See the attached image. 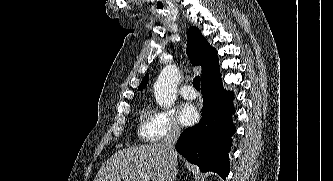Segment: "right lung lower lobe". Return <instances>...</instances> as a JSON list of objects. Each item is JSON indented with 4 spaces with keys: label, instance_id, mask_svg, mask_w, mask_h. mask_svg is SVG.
I'll use <instances>...</instances> for the list:
<instances>
[{
    "label": "right lung lower lobe",
    "instance_id": "98d812e1",
    "mask_svg": "<svg viewBox=\"0 0 333 181\" xmlns=\"http://www.w3.org/2000/svg\"><path fill=\"white\" fill-rule=\"evenodd\" d=\"M201 91V121L181 133L175 149L201 171H213L225 179L229 173L231 135L235 133L231 120L234 95L224 92L221 79L201 85Z\"/></svg>",
    "mask_w": 333,
    "mask_h": 181
}]
</instances>
